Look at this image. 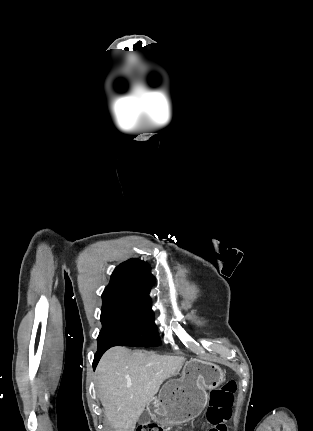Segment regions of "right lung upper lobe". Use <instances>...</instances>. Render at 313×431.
<instances>
[{"label":"right lung upper lobe","instance_id":"1","mask_svg":"<svg viewBox=\"0 0 313 431\" xmlns=\"http://www.w3.org/2000/svg\"><path fill=\"white\" fill-rule=\"evenodd\" d=\"M153 284L149 265L134 258L114 270L102 296L116 295L150 303L149 293Z\"/></svg>","mask_w":313,"mask_h":431}]
</instances>
